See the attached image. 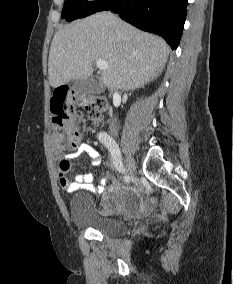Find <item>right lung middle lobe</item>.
<instances>
[{"label":"right lung middle lobe","mask_w":233,"mask_h":284,"mask_svg":"<svg viewBox=\"0 0 233 284\" xmlns=\"http://www.w3.org/2000/svg\"><path fill=\"white\" fill-rule=\"evenodd\" d=\"M106 0H96L87 2V0H65L61 18L67 21H73L78 18L86 17L97 11V9Z\"/></svg>","instance_id":"obj_1"}]
</instances>
